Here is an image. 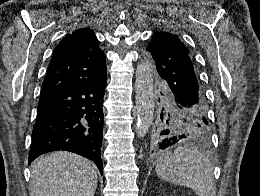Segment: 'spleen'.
<instances>
[{
	"mask_svg": "<svg viewBox=\"0 0 260 196\" xmlns=\"http://www.w3.org/2000/svg\"><path fill=\"white\" fill-rule=\"evenodd\" d=\"M155 172L161 180L191 188L197 196H209L214 184L210 160L196 148L187 146L160 156L155 162Z\"/></svg>",
	"mask_w": 260,
	"mask_h": 196,
	"instance_id": "3e777b00",
	"label": "spleen"
}]
</instances>
